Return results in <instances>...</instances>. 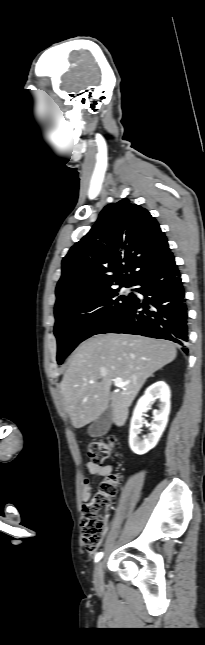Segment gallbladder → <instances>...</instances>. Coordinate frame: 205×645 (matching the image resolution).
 Masks as SVG:
<instances>
[{"mask_svg":"<svg viewBox=\"0 0 205 645\" xmlns=\"http://www.w3.org/2000/svg\"><path fill=\"white\" fill-rule=\"evenodd\" d=\"M112 422V408L107 409L89 426L88 434L91 437H100L105 435L110 429Z\"/></svg>","mask_w":205,"mask_h":645,"instance_id":"1","label":"gallbladder"}]
</instances>
